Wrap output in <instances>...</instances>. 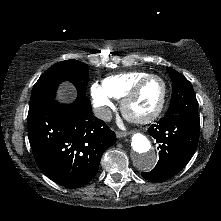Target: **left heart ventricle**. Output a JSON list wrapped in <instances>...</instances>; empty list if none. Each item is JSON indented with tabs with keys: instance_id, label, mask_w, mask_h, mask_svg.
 <instances>
[{
	"instance_id": "left-heart-ventricle-1",
	"label": "left heart ventricle",
	"mask_w": 221,
	"mask_h": 221,
	"mask_svg": "<svg viewBox=\"0 0 221 221\" xmlns=\"http://www.w3.org/2000/svg\"><path fill=\"white\" fill-rule=\"evenodd\" d=\"M162 90V83L158 79H151L146 82L131 102L130 112L134 115L143 116L154 111L160 102Z\"/></svg>"
}]
</instances>
